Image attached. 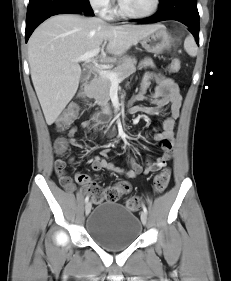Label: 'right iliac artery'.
<instances>
[{
	"mask_svg": "<svg viewBox=\"0 0 231 281\" xmlns=\"http://www.w3.org/2000/svg\"><path fill=\"white\" fill-rule=\"evenodd\" d=\"M89 200V196L87 195L86 198H85V202L87 203Z\"/></svg>",
	"mask_w": 231,
	"mask_h": 281,
	"instance_id": "1",
	"label": "right iliac artery"
}]
</instances>
